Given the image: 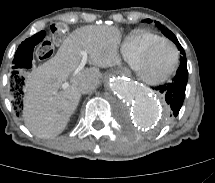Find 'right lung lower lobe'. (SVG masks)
I'll return each instance as SVG.
<instances>
[{
    "instance_id": "right-lung-lower-lobe-1",
    "label": "right lung lower lobe",
    "mask_w": 215,
    "mask_h": 183,
    "mask_svg": "<svg viewBox=\"0 0 215 183\" xmlns=\"http://www.w3.org/2000/svg\"><path fill=\"white\" fill-rule=\"evenodd\" d=\"M20 88H21L20 85H18V88H15V87H14V92H13V93H14L15 96H17V98L20 97V91H19Z\"/></svg>"
}]
</instances>
